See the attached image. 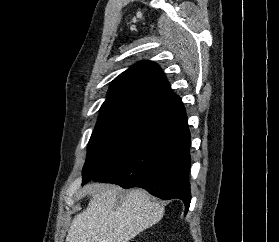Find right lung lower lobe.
<instances>
[{"label": "right lung lower lobe", "instance_id": "right-lung-lower-lobe-1", "mask_svg": "<svg viewBox=\"0 0 279 242\" xmlns=\"http://www.w3.org/2000/svg\"><path fill=\"white\" fill-rule=\"evenodd\" d=\"M160 118L158 128L145 142L98 177L84 178L83 183L94 179L125 189L141 187L164 200L178 198L184 202L187 214L191 201L188 182L191 158L185 108Z\"/></svg>", "mask_w": 279, "mask_h": 242}]
</instances>
